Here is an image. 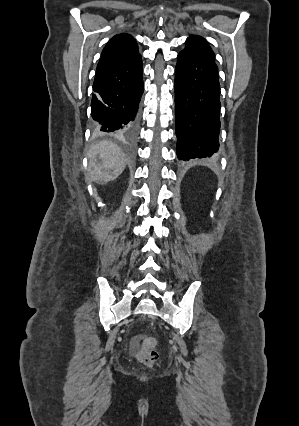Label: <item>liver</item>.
<instances>
[{
  "label": "liver",
  "instance_id": "6515ba94",
  "mask_svg": "<svg viewBox=\"0 0 299 426\" xmlns=\"http://www.w3.org/2000/svg\"><path fill=\"white\" fill-rule=\"evenodd\" d=\"M100 162L97 161V157ZM89 178L97 183L115 180L125 169L126 160L121 149L113 142L102 140L89 152Z\"/></svg>",
  "mask_w": 299,
  "mask_h": 426
}]
</instances>
